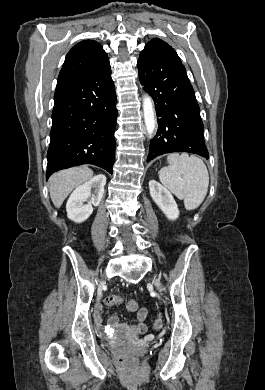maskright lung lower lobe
Here are the masks:
<instances>
[{
	"label": "right lung lower lobe",
	"mask_w": 265,
	"mask_h": 390,
	"mask_svg": "<svg viewBox=\"0 0 265 390\" xmlns=\"http://www.w3.org/2000/svg\"><path fill=\"white\" fill-rule=\"evenodd\" d=\"M110 63L77 80L57 85L46 177L82 164L112 174L117 109Z\"/></svg>",
	"instance_id": "1"
}]
</instances>
